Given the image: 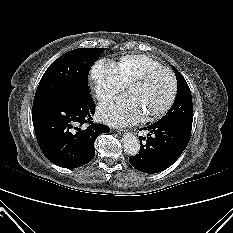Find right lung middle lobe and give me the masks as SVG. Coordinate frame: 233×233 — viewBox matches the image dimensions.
I'll return each instance as SVG.
<instances>
[{"instance_id":"right-lung-middle-lobe-1","label":"right lung middle lobe","mask_w":233,"mask_h":233,"mask_svg":"<svg viewBox=\"0 0 233 233\" xmlns=\"http://www.w3.org/2000/svg\"><path fill=\"white\" fill-rule=\"evenodd\" d=\"M106 48H79L56 59L45 71L36 90L33 105L53 99L89 95L90 68Z\"/></svg>"}]
</instances>
